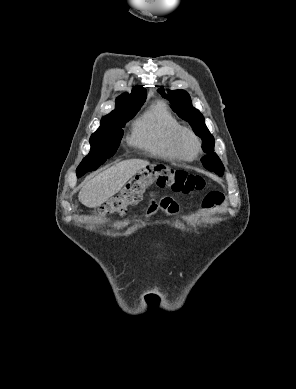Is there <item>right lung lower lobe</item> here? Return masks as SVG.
Wrapping results in <instances>:
<instances>
[{"label": "right lung lower lobe", "mask_w": 296, "mask_h": 389, "mask_svg": "<svg viewBox=\"0 0 296 389\" xmlns=\"http://www.w3.org/2000/svg\"><path fill=\"white\" fill-rule=\"evenodd\" d=\"M98 167H99V165H87L84 167H78L76 170L77 177H81L85 173L92 171V170H95Z\"/></svg>", "instance_id": "right-lung-lower-lobe-1"}]
</instances>
